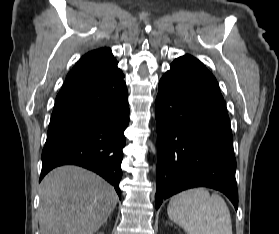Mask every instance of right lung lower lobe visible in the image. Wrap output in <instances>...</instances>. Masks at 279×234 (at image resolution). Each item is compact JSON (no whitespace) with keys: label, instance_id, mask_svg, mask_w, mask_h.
Returning a JSON list of instances; mask_svg holds the SVG:
<instances>
[{"label":"right lung lower lobe","instance_id":"1","mask_svg":"<svg viewBox=\"0 0 279 234\" xmlns=\"http://www.w3.org/2000/svg\"><path fill=\"white\" fill-rule=\"evenodd\" d=\"M123 78L115 66L97 79L60 90L42 152L39 181L57 166L78 165L105 178L121 196L123 132L129 123Z\"/></svg>","mask_w":279,"mask_h":234}]
</instances>
